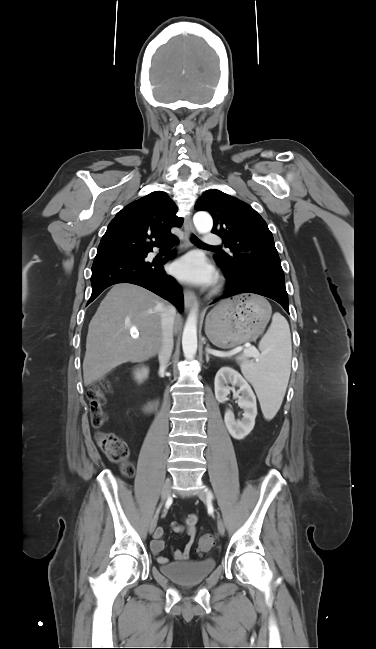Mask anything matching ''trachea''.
I'll use <instances>...</instances> for the list:
<instances>
[{"label": "trachea", "instance_id": "trachea-1", "mask_svg": "<svg viewBox=\"0 0 376 649\" xmlns=\"http://www.w3.org/2000/svg\"><path fill=\"white\" fill-rule=\"evenodd\" d=\"M191 241H192V243H193L194 245H196V246L210 247V246H207V245H205L204 243H202L201 240L198 239L195 235L192 236ZM211 247H212V248H218V247H216V246H211Z\"/></svg>", "mask_w": 376, "mask_h": 649}]
</instances>
